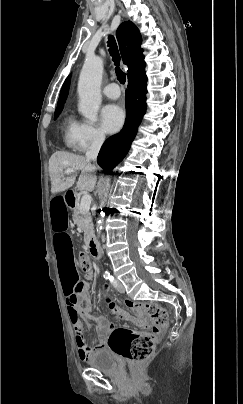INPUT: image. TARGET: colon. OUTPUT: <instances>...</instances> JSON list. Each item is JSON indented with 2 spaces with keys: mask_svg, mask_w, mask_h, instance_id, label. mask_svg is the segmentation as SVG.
Listing matches in <instances>:
<instances>
[{
  "mask_svg": "<svg viewBox=\"0 0 243 404\" xmlns=\"http://www.w3.org/2000/svg\"><path fill=\"white\" fill-rule=\"evenodd\" d=\"M92 265V261L87 256L80 257L82 271L89 272ZM125 304L131 309L145 311L153 319L156 327L150 333L117 327L110 333L107 344L112 352L121 357L133 362H143L153 354L159 335L158 327L167 326L168 314L163 307L155 303L126 300Z\"/></svg>",
  "mask_w": 243,
  "mask_h": 404,
  "instance_id": "5ec220e1",
  "label": "colon"
}]
</instances>
